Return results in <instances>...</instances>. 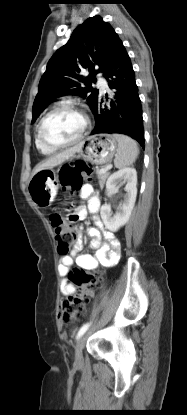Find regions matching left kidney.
Masks as SVG:
<instances>
[{
    "instance_id": "obj_1",
    "label": "left kidney",
    "mask_w": 187,
    "mask_h": 415,
    "mask_svg": "<svg viewBox=\"0 0 187 415\" xmlns=\"http://www.w3.org/2000/svg\"><path fill=\"white\" fill-rule=\"evenodd\" d=\"M126 182L124 190V200L120 202L118 211L112 216L111 205L104 204L101 206L100 215L105 227L116 232L122 226H124L131 215L133 210L136 196H137V172L132 167H127L114 172L106 182V195L111 197L118 189V184Z\"/></svg>"
}]
</instances>
